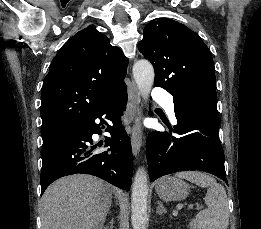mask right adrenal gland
<instances>
[{
  "instance_id": "right-adrenal-gland-1",
  "label": "right adrenal gland",
  "mask_w": 261,
  "mask_h": 229,
  "mask_svg": "<svg viewBox=\"0 0 261 229\" xmlns=\"http://www.w3.org/2000/svg\"><path fill=\"white\" fill-rule=\"evenodd\" d=\"M103 229H114V221L111 219L110 221V227H103Z\"/></svg>"
}]
</instances>
